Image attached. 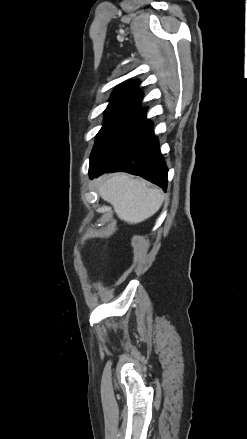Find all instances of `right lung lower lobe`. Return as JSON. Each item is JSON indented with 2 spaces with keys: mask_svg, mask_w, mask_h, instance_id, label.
Returning a JSON list of instances; mask_svg holds the SVG:
<instances>
[{
  "mask_svg": "<svg viewBox=\"0 0 247 439\" xmlns=\"http://www.w3.org/2000/svg\"><path fill=\"white\" fill-rule=\"evenodd\" d=\"M119 171L141 176L166 190L168 170L151 123L97 166H90L89 175L93 179L105 172Z\"/></svg>",
  "mask_w": 247,
  "mask_h": 439,
  "instance_id": "1",
  "label": "right lung lower lobe"
}]
</instances>
